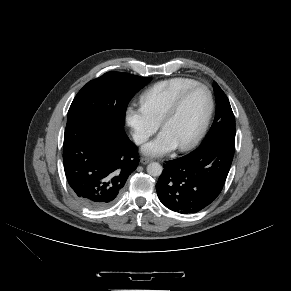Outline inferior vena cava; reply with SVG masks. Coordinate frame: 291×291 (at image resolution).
Listing matches in <instances>:
<instances>
[{"label": "inferior vena cava", "mask_w": 291, "mask_h": 291, "mask_svg": "<svg viewBox=\"0 0 291 291\" xmlns=\"http://www.w3.org/2000/svg\"><path fill=\"white\" fill-rule=\"evenodd\" d=\"M133 139H134L135 143L138 145L147 141V137L144 135H141V134H134Z\"/></svg>", "instance_id": "obj_1"}]
</instances>
